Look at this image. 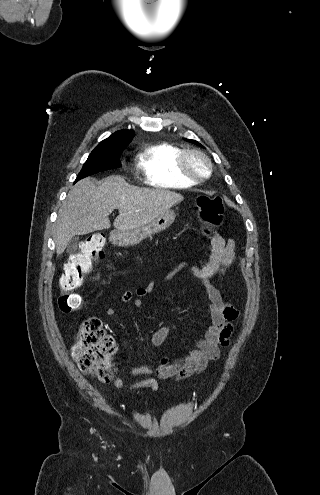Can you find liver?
Masks as SVG:
<instances>
[{"instance_id": "obj_1", "label": "liver", "mask_w": 320, "mask_h": 495, "mask_svg": "<svg viewBox=\"0 0 320 495\" xmlns=\"http://www.w3.org/2000/svg\"><path fill=\"white\" fill-rule=\"evenodd\" d=\"M184 197L164 189L139 188L120 176H110L96 185L90 178L75 184L58 213L54 233L57 255H61L72 237L109 229V215L119 210L115 231L141 227Z\"/></svg>"}]
</instances>
